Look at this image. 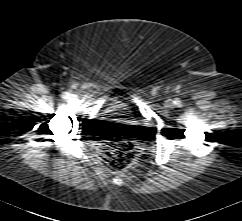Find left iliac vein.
Wrapping results in <instances>:
<instances>
[{"label": "left iliac vein", "mask_w": 242, "mask_h": 221, "mask_svg": "<svg viewBox=\"0 0 242 221\" xmlns=\"http://www.w3.org/2000/svg\"><path fill=\"white\" fill-rule=\"evenodd\" d=\"M167 105H172V100H168Z\"/></svg>", "instance_id": "obj_1"}]
</instances>
